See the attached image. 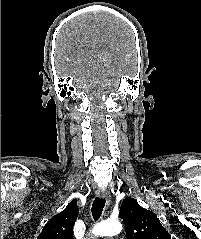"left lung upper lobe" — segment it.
Returning a JSON list of instances; mask_svg holds the SVG:
<instances>
[{
  "instance_id": "1",
  "label": "left lung upper lobe",
  "mask_w": 201,
  "mask_h": 239,
  "mask_svg": "<svg viewBox=\"0 0 201 239\" xmlns=\"http://www.w3.org/2000/svg\"><path fill=\"white\" fill-rule=\"evenodd\" d=\"M120 217L125 223L127 239H171L157 216L142 208L134 198L123 200Z\"/></svg>"
}]
</instances>
